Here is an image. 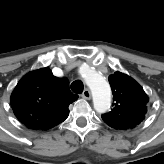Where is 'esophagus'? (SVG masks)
Wrapping results in <instances>:
<instances>
[{"mask_svg":"<svg viewBox=\"0 0 164 164\" xmlns=\"http://www.w3.org/2000/svg\"><path fill=\"white\" fill-rule=\"evenodd\" d=\"M82 96H83L84 98H86V99L91 98V92H90V90H89V89H85V90L83 91V93H82Z\"/></svg>","mask_w":164,"mask_h":164,"instance_id":"1","label":"esophagus"}]
</instances>
